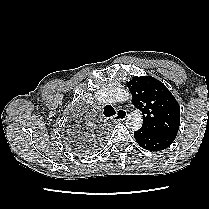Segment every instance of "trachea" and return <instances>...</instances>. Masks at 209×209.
Segmentation results:
<instances>
[{
	"mask_svg": "<svg viewBox=\"0 0 209 209\" xmlns=\"http://www.w3.org/2000/svg\"><path fill=\"white\" fill-rule=\"evenodd\" d=\"M103 114H104L106 117H111V116H113V115L116 114V111H115V109H114L111 105H106V106L104 107Z\"/></svg>",
	"mask_w": 209,
	"mask_h": 209,
	"instance_id": "1",
	"label": "trachea"
}]
</instances>
